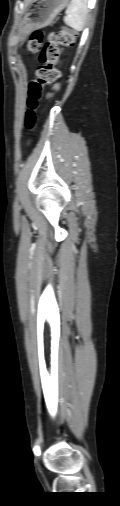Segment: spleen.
<instances>
[{
	"label": "spleen",
	"mask_w": 120,
	"mask_h": 506,
	"mask_svg": "<svg viewBox=\"0 0 120 506\" xmlns=\"http://www.w3.org/2000/svg\"><path fill=\"white\" fill-rule=\"evenodd\" d=\"M87 13V0H71L65 12L64 22L76 31H82Z\"/></svg>",
	"instance_id": "1"
}]
</instances>
